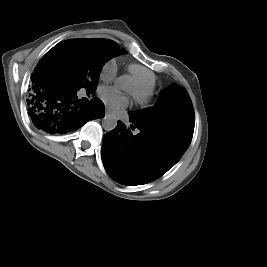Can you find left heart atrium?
<instances>
[{
  "mask_svg": "<svg viewBox=\"0 0 267 267\" xmlns=\"http://www.w3.org/2000/svg\"><path fill=\"white\" fill-rule=\"evenodd\" d=\"M102 96L114 109H119L128 103V98L112 88H104L102 90Z\"/></svg>",
  "mask_w": 267,
  "mask_h": 267,
  "instance_id": "obj_1",
  "label": "left heart atrium"
}]
</instances>
